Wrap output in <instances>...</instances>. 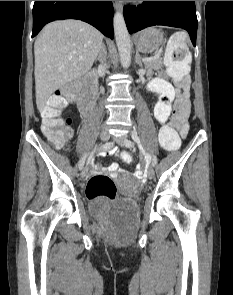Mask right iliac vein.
Instances as JSON below:
<instances>
[{
  "instance_id": "63e3f726",
  "label": "right iliac vein",
  "mask_w": 233,
  "mask_h": 295,
  "mask_svg": "<svg viewBox=\"0 0 233 295\" xmlns=\"http://www.w3.org/2000/svg\"><path fill=\"white\" fill-rule=\"evenodd\" d=\"M110 138V134L107 130L102 131V133L100 134V139L102 141H107ZM88 173V167L85 166L81 172V176L84 178L87 176Z\"/></svg>"
}]
</instances>
